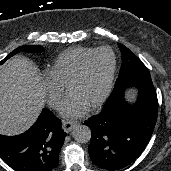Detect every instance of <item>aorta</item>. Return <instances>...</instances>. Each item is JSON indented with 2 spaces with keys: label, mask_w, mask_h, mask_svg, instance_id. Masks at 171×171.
Returning a JSON list of instances; mask_svg holds the SVG:
<instances>
[{
  "label": "aorta",
  "mask_w": 171,
  "mask_h": 171,
  "mask_svg": "<svg viewBox=\"0 0 171 171\" xmlns=\"http://www.w3.org/2000/svg\"><path fill=\"white\" fill-rule=\"evenodd\" d=\"M72 134L74 140L78 143H87L91 139V130L86 125H76Z\"/></svg>",
  "instance_id": "1"
}]
</instances>
